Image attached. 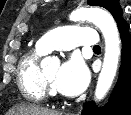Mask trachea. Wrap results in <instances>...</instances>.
I'll return each mask as SVG.
<instances>
[{
  "label": "trachea",
  "mask_w": 131,
  "mask_h": 115,
  "mask_svg": "<svg viewBox=\"0 0 131 115\" xmlns=\"http://www.w3.org/2000/svg\"><path fill=\"white\" fill-rule=\"evenodd\" d=\"M93 49H94V50H96V49H101V47L98 46V45H96V46L93 47Z\"/></svg>",
  "instance_id": "1"
}]
</instances>
